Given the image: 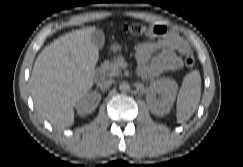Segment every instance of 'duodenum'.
Here are the masks:
<instances>
[{"label": "duodenum", "mask_w": 243, "mask_h": 167, "mask_svg": "<svg viewBox=\"0 0 243 167\" xmlns=\"http://www.w3.org/2000/svg\"><path fill=\"white\" fill-rule=\"evenodd\" d=\"M94 80L96 82H102L104 80V68L99 66L94 71Z\"/></svg>", "instance_id": "duodenum-1"}]
</instances>
